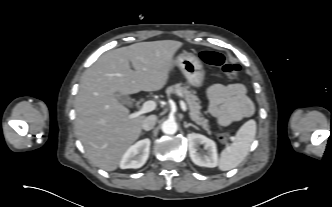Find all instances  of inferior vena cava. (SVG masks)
<instances>
[{"instance_id":"obj_1","label":"inferior vena cava","mask_w":332,"mask_h":207,"mask_svg":"<svg viewBox=\"0 0 332 207\" xmlns=\"http://www.w3.org/2000/svg\"><path fill=\"white\" fill-rule=\"evenodd\" d=\"M157 117L155 115H150L143 120L142 128L149 131L154 128L156 124Z\"/></svg>"}]
</instances>
